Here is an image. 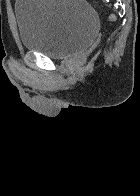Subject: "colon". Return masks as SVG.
Listing matches in <instances>:
<instances>
[{"instance_id": "obj_1", "label": "colon", "mask_w": 140, "mask_h": 196, "mask_svg": "<svg viewBox=\"0 0 140 196\" xmlns=\"http://www.w3.org/2000/svg\"><path fill=\"white\" fill-rule=\"evenodd\" d=\"M108 17H109V19H110V20H112V19H113V16H112V15H109Z\"/></svg>"}]
</instances>
